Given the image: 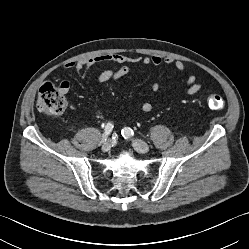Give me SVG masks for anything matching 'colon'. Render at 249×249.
<instances>
[{
	"instance_id": "colon-1",
	"label": "colon",
	"mask_w": 249,
	"mask_h": 249,
	"mask_svg": "<svg viewBox=\"0 0 249 249\" xmlns=\"http://www.w3.org/2000/svg\"><path fill=\"white\" fill-rule=\"evenodd\" d=\"M207 104L212 110H222L225 105L223 99L216 94H210L207 97ZM36 106L42 113L60 115L66 111L68 101L60 85L56 86L47 82L39 88Z\"/></svg>"
}]
</instances>
